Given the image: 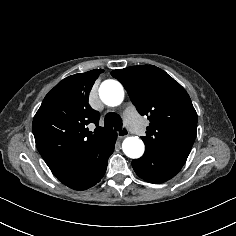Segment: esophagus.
<instances>
[{
	"instance_id": "esophagus-1",
	"label": "esophagus",
	"mask_w": 236,
	"mask_h": 236,
	"mask_svg": "<svg viewBox=\"0 0 236 236\" xmlns=\"http://www.w3.org/2000/svg\"><path fill=\"white\" fill-rule=\"evenodd\" d=\"M128 134H129V131H128V129H127L126 127H123V128H122L121 130H119V132H118L119 138H124V137L128 136Z\"/></svg>"
}]
</instances>
